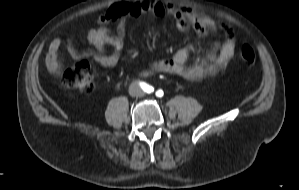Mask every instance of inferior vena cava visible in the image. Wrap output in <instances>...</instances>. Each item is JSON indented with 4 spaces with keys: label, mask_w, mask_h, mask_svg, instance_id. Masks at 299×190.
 <instances>
[{
    "label": "inferior vena cava",
    "mask_w": 299,
    "mask_h": 190,
    "mask_svg": "<svg viewBox=\"0 0 299 190\" xmlns=\"http://www.w3.org/2000/svg\"><path fill=\"white\" fill-rule=\"evenodd\" d=\"M135 91L133 93L134 96H143L144 92L140 89L138 85H134Z\"/></svg>",
    "instance_id": "obj_1"
}]
</instances>
